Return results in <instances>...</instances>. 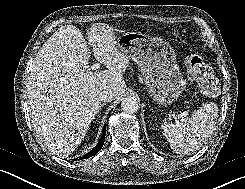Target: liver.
<instances>
[{
  "mask_svg": "<svg viewBox=\"0 0 245 189\" xmlns=\"http://www.w3.org/2000/svg\"><path fill=\"white\" fill-rule=\"evenodd\" d=\"M114 28L95 23L88 33L95 58L106 70L89 68L90 48L79 28L65 25L43 44L28 78L31 123L47 148L69 156L81 143L99 112L100 94L110 89L120 98L129 58L116 46Z\"/></svg>",
  "mask_w": 245,
  "mask_h": 189,
  "instance_id": "6515ba94",
  "label": "liver"
}]
</instances>
